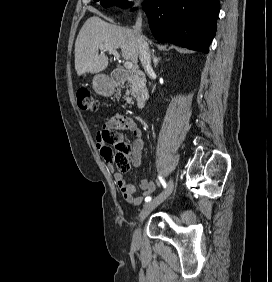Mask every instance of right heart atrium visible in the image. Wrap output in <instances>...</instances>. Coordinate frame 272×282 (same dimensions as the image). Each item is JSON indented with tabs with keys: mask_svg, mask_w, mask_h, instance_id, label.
Masks as SVG:
<instances>
[{
	"mask_svg": "<svg viewBox=\"0 0 272 282\" xmlns=\"http://www.w3.org/2000/svg\"><path fill=\"white\" fill-rule=\"evenodd\" d=\"M139 1L141 0H121L122 5L126 8L136 6Z\"/></svg>",
	"mask_w": 272,
	"mask_h": 282,
	"instance_id": "d8ad5b80",
	"label": "right heart atrium"
}]
</instances>
